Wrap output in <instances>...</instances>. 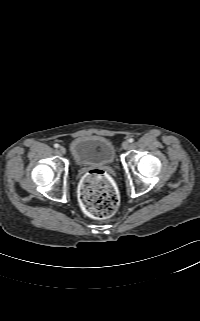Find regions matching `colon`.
I'll return each mask as SVG.
<instances>
[{
	"instance_id": "colon-1",
	"label": "colon",
	"mask_w": 200,
	"mask_h": 321,
	"mask_svg": "<svg viewBox=\"0 0 200 321\" xmlns=\"http://www.w3.org/2000/svg\"><path fill=\"white\" fill-rule=\"evenodd\" d=\"M80 202L92 217H111L118 208L119 196L107 174L100 169L89 171L79 187Z\"/></svg>"
}]
</instances>
